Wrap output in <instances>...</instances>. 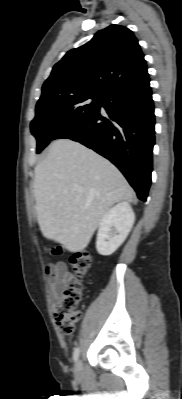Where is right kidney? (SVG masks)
Segmentation results:
<instances>
[{
	"mask_svg": "<svg viewBox=\"0 0 182 399\" xmlns=\"http://www.w3.org/2000/svg\"><path fill=\"white\" fill-rule=\"evenodd\" d=\"M135 221L128 202H121L103 216L97 233L96 249L100 255L109 256L124 242Z\"/></svg>",
	"mask_w": 182,
	"mask_h": 399,
	"instance_id": "obj_1",
	"label": "right kidney"
}]
</instances>
